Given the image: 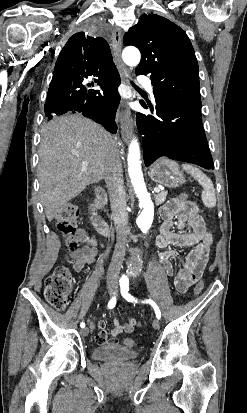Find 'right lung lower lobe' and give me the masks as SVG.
I'll return each mask as SVG.
<instances>
[{
  "instance_id": "1",
  "label": "right lung lower lobe",
  "mask_w": 247,
  "mask_h": 413,
  "mask_svg": "<svg viewBox=\"0 0 247 413\" xmlns=\"http://www.w3.org/2000/svg\"><path fill=\"white\" fill-rule=\"evenodd\" d=\"M88 76L67 74L53 78L51 84H61L70 88V92L59 99H46L45 114L48 120L56 115L66 113H82L101 125L109 132L116 133L117 125L114 120L120 101L117 91L120 85L118 73L96 77L95 81L102 88L103 95L97 90H88L83 84Z\"/></svg>"
}]
</instances>
